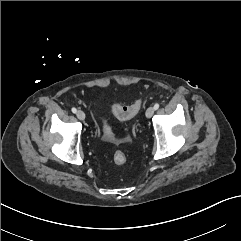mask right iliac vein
Returning a JSON list of instances; mask_svg holds the SVG:
<instances>
[{
    "instance_id": "1",
    "label": "right iliac vein",
    "mask_w": 241,
    "mask_h": 241,
    "mask_svg": "<svg viewBox=\"0 0 241 241\" xmlns=\"http://www.w3.org/2000/svg\"><path fill=\"white\" fill-rule=\"evenodd\" d=\"M76 115H77V118L81 121L85 119V113L82 110H78Z\"/></svg>"
}]
</instances>
